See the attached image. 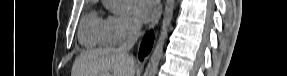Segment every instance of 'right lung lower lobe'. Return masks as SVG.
<instances>
[{"label": "right lung lower lobe", "instance_id": "right-lung-lower-lobe-1", "mask_svg": "<svg viewBox=\"0 0 287 76\" xmlns=\"http://www.w3.org/2000/svg\"><path fill=\"white\" fill-rule=\"evenodd\" d=\"M153 39H154V37H153L152 31L148 32L145 35V37L141 43V47H140V52H139V59L140 60H143L144 56L150 52L152 45H153Z\"/></svg>", "mask_w": 287, "mask_h": 76}]
</instances>
